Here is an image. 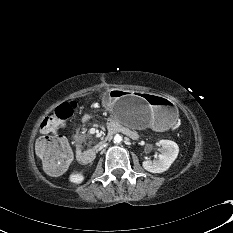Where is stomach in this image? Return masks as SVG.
Returning <instances> with one entry per match:
<instances>
[{
  "label": "stomach",
  "mask_w": 233,
  "mask_h": 233,
  "mask_svg": "<svg viewBox=\"0 0 233 233\" xmlns=\"http://www.w3.org/2000/svg\"><path fill=\"white\" fill-rule=\"evenodd\" d=\"M103 105L117 121L137 129H165L178 118L174 102L156 94L112 89L104 96Z\"/></svg>",
  "instance_id": "obj_1"
}]
</instances>
